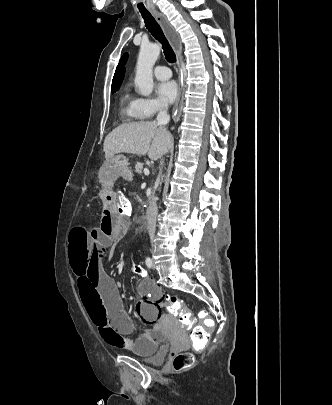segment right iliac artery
Returning <instances> with one entry per match:
<instances>
[{"mask_svg":"<svg viewBox=\"0 0 332 405\" xmlns=\"http://www.w3.org/2000/svg\"><path fill=\"white\" fill-rule=\"evenodd\" d=\"M145 263L148 268H151L153 266V262L149 257L146 258Z\"/></svg>","mask_w":332,"mask_h":405,"instance_id":"82829eb1","label":"right iliac artery"}]
</instances>
